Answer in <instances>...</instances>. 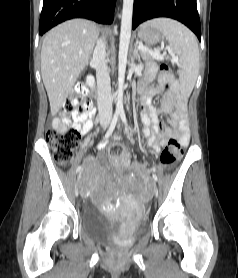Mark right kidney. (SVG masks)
Here are the masks:
<instances>
[{"label": "right kidney", "instance_id": "right-kidney-1", "mask_svg": "<svg viewBox=\"0 0 238 278\" xmlns=\"http://www.w3.org/2000/svg\"><path fill=\"white\" fill-rule=\"evenodd\" d=\"M86 83L89 85V87H93L94 86V78L91 76H87Z\"/></svg>", "mask_w": 238, "mask_h": 278}]
</instances>
